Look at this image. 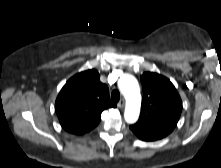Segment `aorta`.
I'll use <instances>...</instances> for the list:
<instances>
[{"label":"aorta","mask_w":221,"mask_h":168,"mask_svg":"<svg viewBox=\"0 0 221 168\" xmlns=\"http://www.w3.org/2000/svg\"><path fill=\"white\" fill-rule=\"evenodd\" d=\"M119 89L126 99L124 118L127 123H135L140 114L141 95L137 79L126 74L119 81Z\"/></svg>","instance_id":"aorta-1"}]
</instances>
